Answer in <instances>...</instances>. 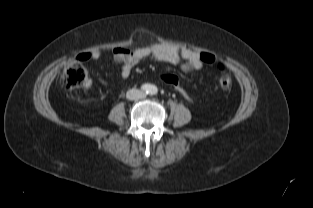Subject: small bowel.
Listing matches in <instances>:
<instances>
[{
    "instance_id": "obj_1",
    "label": "small bowel",
    "mask_w": 313,
    "mask_h": 208,
    "mask_svg": "<svg viewBox=\"0 0 313 208\" xmlns=\"http://www.w3.org/2000/svg\"><path fill=\"white\" fill-rule=\"evenodd\" d=\"M100 57L101 53L98 50H93L80 55L82 60H98ZM148 57L169 64H178L182 62L181 67L185 71L200 70L203 67L200 53L187 48L178 49L168 44L155 43L132 50L124 47H116L113 49V58L117 63L122 65L121 76L124 79L130 76L135 65ZM89 85L90 83L88 82L86 87H89Z\"/></svg>"
}]
</instances>
